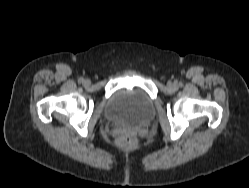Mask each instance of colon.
<instances>
[{"label": "colon", "instance_id": "colon-1", "mask_svg": "<svg viewBox=\"0 0 249 188\" xmlns=\"http://www.w3.org/2000/svg\"><path fill=\"white\" fill-rule=\"evenodd\" d=\"M137 142V137L133 132L125 131L123 132L119 139L118 144L121 148H131L133 147Z\"/></svg>", "mask_w": 249, "mask_h": 188}]
</instances>
